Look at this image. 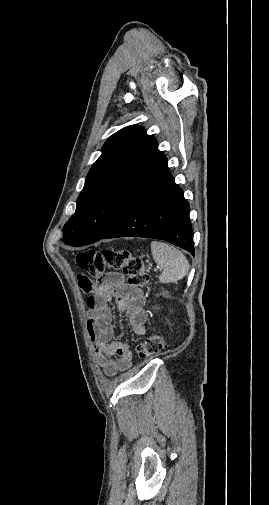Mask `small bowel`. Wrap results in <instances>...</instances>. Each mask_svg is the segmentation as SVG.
<instances>
[{
	"instance_id": "obj_1",
	"label": "small bowel",
	"mask_w": 269,
	"mask_h": 505,
	"mask_svg": "<svg viewBox=\"0 0 269 505\" xmlns=\"http://www.w3.org/2000/svg\"><path fill=\"white\" fill-rule=\"evenodd\" d=\"M78 288L90 295L87 299V331L94 344L97 363L107 376H115L132 366V353L127 341H114V328L109 302L115 299L117 308L124 312L135 335L146 333L144 296L140 290L131 288L121 273L109 272L102 281H91L84 271Z\"/></svg>"
}]
</instances>
